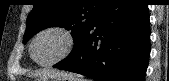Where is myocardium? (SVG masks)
Returning <instances> with one entry per match:
<instances>
[{
  "instance_id": "f54148a6",
  "label": "myocardium",
  "mask_w": 169,
  "mask_h": 81,
  "mask_svg": "<svg viewBox=\"0 0 169 81\" xmlns=\"http://www.w3.org/2000/svg\"><path fill=\"white\" fill-rule=\"evenodd\" d=\"M50 32H55V33H58V34L62 35L65 38L67 45H66V48L63 51V53L57 59H55L54 61L48 62V63H40L34 57V53H33L34 44H35L36 40L41 35H43L45 33H50ZM75 44H76L75 36H74V34L72 33V31L70 29L65 28L63 26H50V27H47V28L39 31L34 36V38L31 41V44H30L29 52H30L31 59L38 66L44 67V68H49V67H52V66L60 63L64 59H66L72 53V51L74 50Z\"/></svg>"
}]
</instances>
